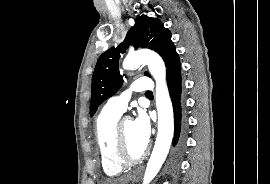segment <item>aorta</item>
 <instances>
[{"instance_id": "1", "label": "aorta", "mask_w": 270, "mask_h": 184, "mask_svg": "<svg viewBox=\"0 0 270 184\" xmlns=\"http://www.w3.org/2000/svg\"><path fill=\"white\" fill-rule=\"evenodd\" d=\"M141 64L148 65V69L156 81L158 133L143 179V184H149L161 169L168 155L174 134V119L166 85V67L162 58L153 51L129 53L123 61V68L130 70Z\"/></svg>"}]
</instances>
